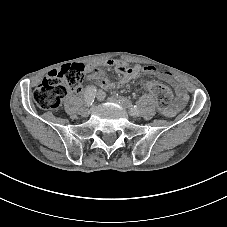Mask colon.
<instances>
[{
	"instance_id": "1",
	"label": "colon",
	"mask_w": 227,
	"mask_h": 227,
	"mask_svg": "<svg viewBox=\"0 0 227 227\" xmlns=\"http://www.w3.org/2000/svg\"><path fill=\"white\" fill-rule=\"evenodd\" d=\"M82 64H66L52 70L36 87L33 98L42 109H55L60 106L62 99L70 90H78L84 79ZM144 74H147L145 72ZM145 86L155 96L160 109H167L172 102V93L168 87L156 82L146 83Z\"/></svg>"
}]
</instances>
